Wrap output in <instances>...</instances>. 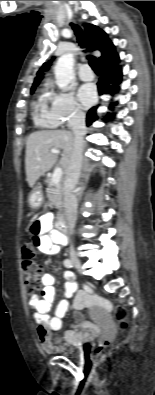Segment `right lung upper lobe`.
Listing matches in <instances>:
<instances>
[{"label": "right lung upper lobe", "mask_w": 155, "mask_h": 395, "mask_svg": "<svg viewBox=\"0 0 155 395\" xmlns=\"http://www.w3.org/2000/svg\"><path fill=\"white\" fill-rule=\"evenodd\" d=\"M85 32L89 39L90 51L98 50L101 52V57L98 59V64H104L118 58L115 52V47L112 42L108 39L107 34L99 29L97 26L85 23L83 24ZM51 64V61L45 62L42 65L40 71H38V77L35 78L31 91L35 90V87L39 84L42 78V72L45 71Z\"/></svg>", "instance_id": "right-lung-upper-lobe-1"}]
</instances>
